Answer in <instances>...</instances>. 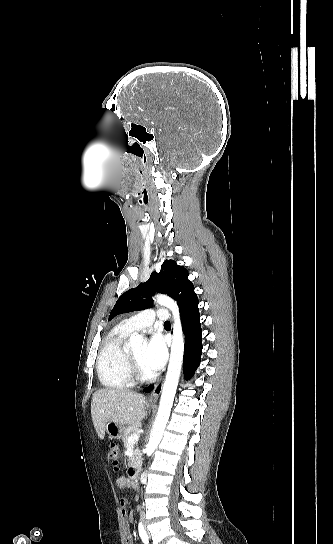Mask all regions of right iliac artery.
<instances>
[{"label": "right iliac artery", "mask_w": 333, "mask_h": 544, "mask_svg": "<svg viewBox=\"0 0 333 544\" xmlns=\"http://www.w3.org/2000/svg\"><path fill=\"white\" fill-rule=\"evenodd\" d=\"M138 530H139V535H140V538H141L142 542L144 544H148L149 543L148 536H147V533H146V531L144 529V526H143V524L141 522L138 525Z\"/></svg>", "instance_id": "right-iliac-artery-1"}]
</instances>
